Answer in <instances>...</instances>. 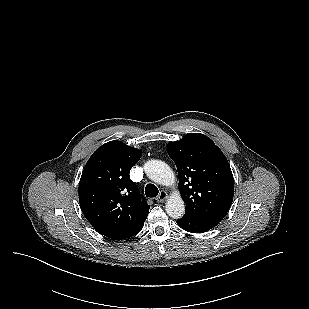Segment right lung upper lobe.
I'll return each instance as SVG.
<instances>
[{
	"label": "right lung upper lobe",
	"mask_w": 309,
	"mask_h": 309,
	"mask_svg": "<svg viewBox=\"0 0 309 309\" xmlns=\"http://www.w3.org/2000/svg\"><path fill=\"white\" fill-rule=\"evenodd\" d=\"M142 152L121 141L99 147L88 160L79 183V202L100 234L123 240L140 232L150 206L140 200L129 172Z\"/></svg>",
	"instance_id": "obj_1"
}]
</instances>
